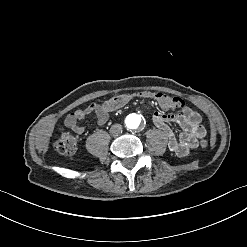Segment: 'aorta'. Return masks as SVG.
Here are the masks:
<instances>
[{
  "mask_svg": "<svg viewBox=\"0 0 247 247\" xmlns=\"http://www.w3.org/2000/svg\"><path fill=\"white\" fill-rule=\"evenodd\" d=\"M140 122H141V118L139 115H136V114L130 115L126 120V124L129 129L138 128V126L140 125Z\"/></svg>",
  "mask_w": 247,
  "mask_h": 247,
  "instance_id": "aorta-1",
  "label": "aorta"
}]
</instances>
